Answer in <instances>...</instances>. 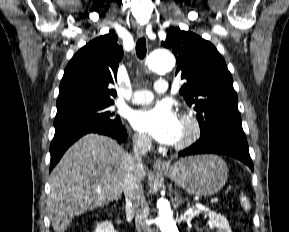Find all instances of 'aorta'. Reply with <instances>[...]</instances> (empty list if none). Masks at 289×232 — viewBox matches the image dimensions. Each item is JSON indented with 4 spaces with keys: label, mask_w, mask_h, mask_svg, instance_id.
Listing matches in <instances>:
<instances>
[{
    "label": "aorta",
    "mask_w": 289,
    "mask_h": 232,
    "mask_svg": "<svg viewBox=\"0 0 289 232\" xmlns=\"http://www.w3.org/2000/svg\"><path fill=\"white\" fill-rule=\"evenodd\" d=\"M146 63L150 70L158 73H165L173 69L175 66V58L168 50L156 49L149 54ZM157 207L159 209L157 225L160 231L178 232L170 203L165 199H160L157 202Z\"/></svg>",
    "instance_id": "aorta-1"
}]
</instances>
